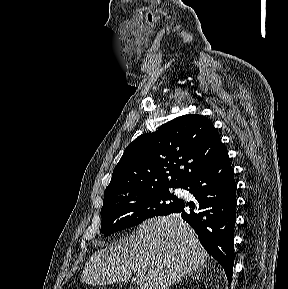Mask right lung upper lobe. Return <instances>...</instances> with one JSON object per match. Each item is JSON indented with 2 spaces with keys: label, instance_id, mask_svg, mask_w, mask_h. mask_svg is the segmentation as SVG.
<instances>
[{
  "label": "right lung upper lobe",
  "instance_id": "right-lung-upper-lobe-1",
  "mask_svg": "<svg viewBox=\"0 0 288 289\" xmlns=\"http://www.w3.org/2000/svg\"><path fill=\"white\" fill-rule=\"evenodd\" d=\"M225 151L217 130L206 117L180 116L129 144L104 198L150 188L181 187Z\"/></svg>",
  "mask_w": 288,
  "mask_h": 289
}]
</instances>
